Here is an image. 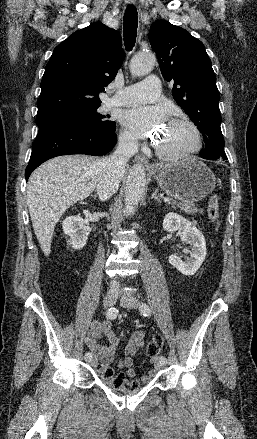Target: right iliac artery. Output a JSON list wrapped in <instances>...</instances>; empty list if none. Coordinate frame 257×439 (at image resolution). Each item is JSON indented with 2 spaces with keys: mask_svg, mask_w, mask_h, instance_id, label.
I'll return each instance as SVG.
<instances>
[{
  "mask_svg": "<svg viewBox=\"0 0 257 439\" xmlns=\"http://www.w3.org/2000/svg\"><path fill=\"white\" fill-rule=\"evenodd\" d=\"M118 314V310L116 308H110L108 309V311L106 312V317L107 319H115L116 316ZM85 359H92V354L90 352H86L85 353Z\"/></svg>",
  "mask_w": 257,
  "mask_h": 439,
  "instance_id": "right-iliac-artery-1",
  "label": "right iliac artery"
}]
</instances>
